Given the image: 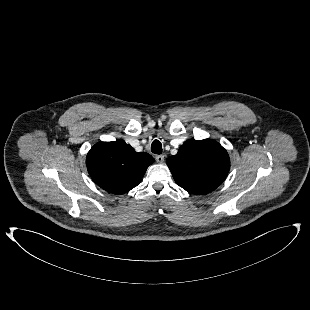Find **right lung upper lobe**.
Wrapping results in <instances>:
<instances>
[{
	"mask_svg": "<svg viewBox=\"0 0 310 310\" xmlns=\"http://www.w3.org/2000/svg\"><path fill=\"white\" fill-rule=\"evenodd\" d=\"M153 162L151 155L136 152L122 139L95 144L86 158L93 181L113 194L126 193L137 186Z\"/></svg>",
	"mask_w": 310,
	"mask_h": 310,
	"instance_id": "obj_1",
	"label": "right lung upper lobe"
}]
</instances>
